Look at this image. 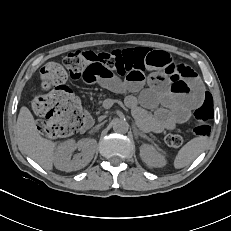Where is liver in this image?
<instances>
[{"label":"liver","mask_w":231,"mask_h":231,"mask_svg":"<svg viewBox=\"0 0 231 231\" xmlns=\"http://www.w3.org/2000/svg\"><path fill=\"white\" fill-rule=\"evenodd\" d=\"M16 132L23 151L43 168L52 170L56 143L40 135L32 113L25 106L20 109Z\"/></svg>","instance_id":"1"}]
</instances>
